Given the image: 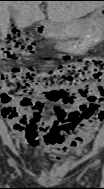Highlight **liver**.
Returning <instances> with one entry per match:
<instances>
[{"mask_svg":"<svg viewBox=\"0 0 104 189\" xmlns=\"http://www.w3.org/2000/svg\"><path fill=\"white\" fill-rule=\"evenodd\" d=\"M38 1H3L0 3L1 34L6 37L8 32V9H14V20L19 29H24L34 23L45 19L39 8ZM48 19L59 26H70L72 22L91 13L97 8H102L99 1H49L47 2ZM7 20V21H6ZM6 21V22H5Z\"/></svg>","mask_w":104,"mask_h":189,"instance_id":"obj_1","label":"liver"}]
</instances>
